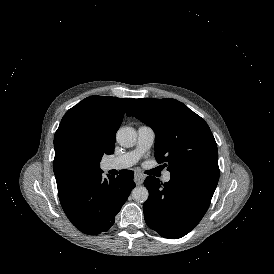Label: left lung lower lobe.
Masks as SVG:
<instances>
[{
	"label": "left lung lower lobe",
	"instance_id": "1",
	"mask_svg": "<svg viewBox=\"0 0 274 274\" xmlns=\"http://www.w3.org/2000/svg\"><path fill=\"white\" fill-rule=\"evenodd\" d=\"M149 197L144 203L147 225L161 236L181 238L189 233L206 213L217 183L171 176L164 184L148 176L144 181Z\"/></svg>",
	"mask_w": 274,
	"mask_h": 274
}]
</instances>
